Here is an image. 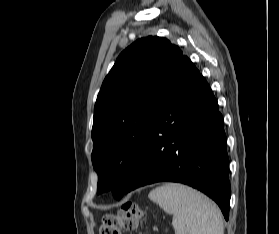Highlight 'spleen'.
Segmentation results:
<instances>
[{"instance_id":"obj_1","label":"spleen","mask_w":279,"mask_h":234,"mask_svg":"<svg viewBox=\"0 0 279 234\" xmlns=\"http://www.w3.org/2000/svg\"><path fill=\"white\" fill-rule=\"evenodd\" d=\"M149 198L173 215L175 234H224L223 216L217 205L191 187L166 183L153 189Z\"/></svg>"}]
</instances>
